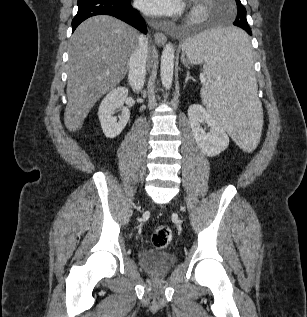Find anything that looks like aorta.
<instances>
[{"instance_id": "aorta-1", "label": "aorta", "mask_w": 307, "mask_h": 317, "mask_svg": "<svg viewBox=\"0 0 307 317\" xmlns=\"http://www.w3.org/2000/svg\"><path fill=\"white\" fill-rule=\"evenodd\" d=\"M174 72V47L171 43L166 44L161 56L160 76L165 89H170Z\"/></svg>"}]
</instances>
